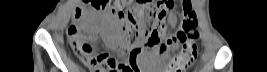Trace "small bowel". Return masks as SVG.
Listing matches in <instances>:
<instances>
[{"instance_id":"c3829d8e","label":"small bowel","mask_w":267,"mask_h":72,"mask_svg":"<svg viewBox=\"0 0 267 72\" xmlns=\"http://www.w3.org/2000/svg\"><path fill=\"white\" fill-rule=\"evenodd\" d=\"M168 24L172 29H176L175 42L169 45V51H159L156 47L153 51H138L131 52L129 55L130 68L126 72H172L171 64L176 56L172 55V51L178 47V42H182L183 39L180 36L181 33V23L182 21L176 13H172L168 18ZM102 24L111 30V43L113 46L120 48H125L127 46L126 39L123 35L118 33L116 29V24L111 19L103 20ZM69 45L75 52V54L80 58V55L75 50L74 46L69 42ZM93 72H102L97 69L91 68Z\"/></svg>"}]
</instances>
